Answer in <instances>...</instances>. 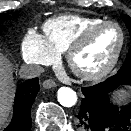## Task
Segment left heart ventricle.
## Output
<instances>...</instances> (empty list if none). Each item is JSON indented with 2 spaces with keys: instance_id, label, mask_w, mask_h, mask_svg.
Returning a JSON list of instances; mask_svg holds the SVG:
<instances>
[{
  "instance_id": "left-heart-ventricle-1",
  "label": "left heart ventricle",
  "mask_w": 131,
  "mask_h": 131,
  "mask_svg": "<svg viewBox=\"0 0 131 131\" xmlns=\"http://www.w3.org/2000/svg\"><path fill=\"white\" fill-rule=\"evenodd\" d=\"M120 42V32L115 26L98 30L89 42L76 54L74 63L83 71H95L104 67L113 57Z\"/></svg>"
}]
</instances>
